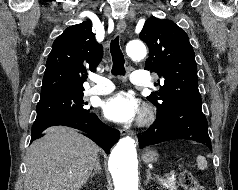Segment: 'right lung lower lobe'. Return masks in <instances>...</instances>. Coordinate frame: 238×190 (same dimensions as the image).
I'll use <instances>...</instances> for the list:
<instances>
[{"label": "right lung lower lobe", "instance_id": "1", "mask_svg": "<svg viewBox=\"0 0 238 190\" xmlns=\"http://www.w3.org/2000/svg\"><path fill=\"white\" fill-rule=\"evenodd\" d=\"M69 126L86 133V136L102 147L107 153L118 141L119 131L102 123L95 113L60 115L35 120L31 131V142L40 138L41 133L50 126Z\"/></svg>", "mask_w": 238, "mask_h": 190}]
</instances>
